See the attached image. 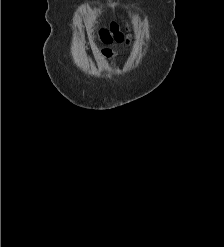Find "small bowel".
Masks as SVG:
<instances>
[{
    "label": "small bowel",
    "mask_w": 224,
    "mask_h": 247,
    "mask_svg": "<svg viewBox=\"0 0 224 247\" xmlns=\"http://www.w3.org/2000/svg\"><path fill=\"white\" fill-rule=\"evenodd\" d=\"M113 41L116 43H119V44H130L131 39H130V37H124L123 35L119 34L118 36L114 37V39H112V38L111 39H105L104 43L105 44H111ZM100 54H101V56H103L107 59L114 57V53L109 48H105V49L101 50Z\"/></svg>",
    "instance_id": "small-bowel-1"
}]
</instances>
